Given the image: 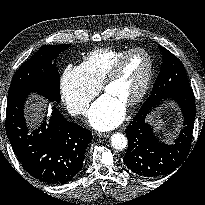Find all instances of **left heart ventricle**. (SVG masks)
Segmentation results:
<instances>
[{
	"mask_svg": "<svg viewBox=\"0 0 205 205\" xmlns=\"http://www.w3.org/2000/svg\"><path fill=\"white\" fill-rule=\"evenodd\" d=\"M149 60L146 55L136 53L123 64L118 78L105 90V93L120 101L123 105L139 92L146 77Z\"/></svg>",
	"mask_w": 205,
	"mask_h": 205,
	"instance_id": "1",
	"label": "left heart ventricle"
}]
</instances>
